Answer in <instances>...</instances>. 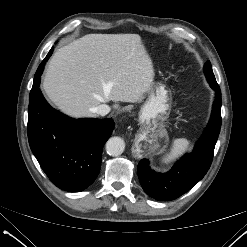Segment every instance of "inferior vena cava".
<instances>
[{
    "instance_id": "inferior-vena-cava-1",
    "label": "inferior vena cava",
    "mask_w": 247,
    "mask_h": 247,
    "mask_svg": "<svg viewBox=\"0 0 247 247\" xmlns=\"http://www.w3.org/2000/svg\"><path fill=\"white\" fill-rule=\"evenodd\" d=\"M93 110L95 113L104 116L110 112L111 108L106 104H100L99 106L95 107Z\"/></svg>"
}]
</instances>
